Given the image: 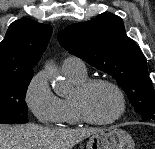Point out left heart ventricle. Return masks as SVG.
Returning <instances> with one entry per match:
<instances>
[{
  "label": "left heart ventricle",
  "instance_id": "obj_1",
  "mask_svg": "<svg viewBox=\"0 0 155 149\" xmlns=\"http://www.w3.org/2000/svg\"><path fill=\"white\" fill-rule=\"evenodd\" d=\"M85 104L89 113L98 120L113 118L120 108L117 93L107 85L93 87L85 97Z\"/></svg>",
  "mask_w": 155,
  "mask_h": 149
}]
</instances>
